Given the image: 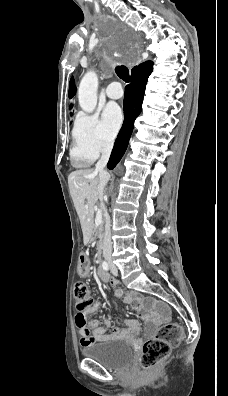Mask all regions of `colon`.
<instances>
[{
  "label": "colon",
  "instance_id": "5ec220e1",
  "mask_svg": "<svg viewBox=\"0 0 228 396\" xmlns=\"http://www.w3.org/2000/svg\"><path fill=\"white\" fill-rule=\"evenodd\" d=\"M74 297L78 307L75 321L76 326L84 328L87 323V309L92 305V297L87 285L77 282L74 287ZM183 328L176 323L165 324L152 338L145 341L139 358L140 367L153 370L170 354L171 350L180 342Z\"/></svg>",
  "mask_w": 228,
  "mask_h": 396
}]
</instances>
